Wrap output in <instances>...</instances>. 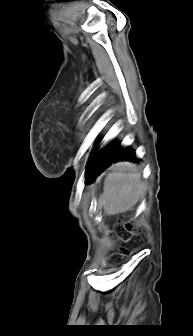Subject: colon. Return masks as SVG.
Returning a JSON list of instances; mask_svg holds the SVG:
<instances>
[{
  "label": "colon",
  "instance_id": "obj_1",
  "mask_svg": "<svg viewBox=\"0 0 193 336\" xmlns=\"http://www.w3.org/2000/svg\"><path fill=\"white\" fill-rule=\"evenodd\" d=\"M125 226L127 235H124L123 238L127 246L122 248V253L124 255L131 254L139 245V242L134 238L137 234L141 232L140 228L131 220L124 218L122 220Z\"/></svg>",
  "mask_w": 193,
  "mask_h": 336
}]
</instances>
